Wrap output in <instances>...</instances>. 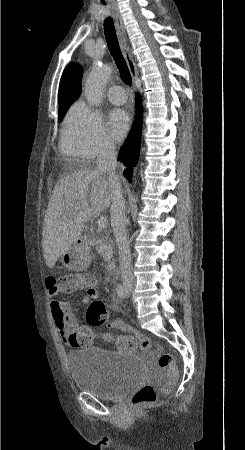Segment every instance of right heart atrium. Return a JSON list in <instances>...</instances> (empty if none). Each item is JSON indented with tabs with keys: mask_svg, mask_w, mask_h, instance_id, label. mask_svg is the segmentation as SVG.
<instances>
[{
	"mask_svg": "<svg viewBox=\"0 0 245 450\" xmlns=\"http://www.w3.org/2000/svg\"><path fill=\"white\" fill-rule=\"evenodd\" d=\"M115 148L98 112L80 101L68 111L62 136V150L80 160H94Z\"/></svg>",
	"mask_w": 245,
	"mask_h": 450,
	"instance_id": "1",
	"label": "right heart atrium"
}]
</instances>
